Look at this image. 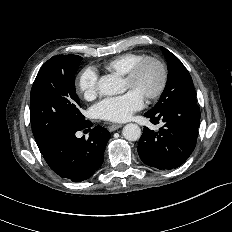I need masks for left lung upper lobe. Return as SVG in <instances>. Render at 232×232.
Listing matches in <instances>:
<instances>
[{
  "mask_svg": "<svg viewBox=\"0 0 232 232\" xmlns=\"http://www.w3.org/2000/svg\"><path fill=\"white\" fill-rule=\"evenodd\" d=\"M168 62V78L158 103L151 109L158 111L180 100L196 103L192 78L182 62L166 48L161 47Z\"/></svg>",
  "mask_w": 232,
  "mask_h": 232,
  "instance_id": "5c2ea615",
  "label": "left lung upper lobe"
}]
</instances>
